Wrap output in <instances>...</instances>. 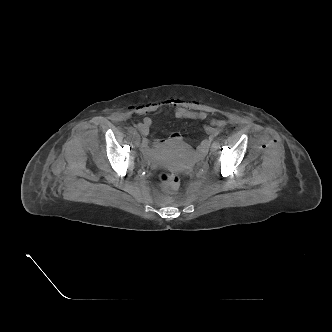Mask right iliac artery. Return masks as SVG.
<instances>
[{
	"instance_id": "right-iliac-artery-1",
	"label": "right iliac artery",
	"mask_w": 332,
	"mask_h": 332,
	"mask_svg": "<svg viewBox=\"0 0 332 332\" xmlns=\"http://www.w3.org/2000/svg\"><path fill=\"white\" fill-rule=\"evenodd\" d=\"M128 131H129L130 133H136V130H135L133 127H129V128H128Z\"/></svg>"
}]
</instances>
